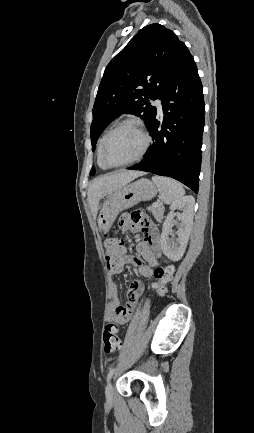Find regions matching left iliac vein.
Returning <instances> with one entry per match:
<instances>
[{
	"instance_id": "4c4485c4",
	"label": "left iliac vein",
	"mask_w": 254,
	"mask_h": 433,
	"mask_svg": "<svg viewBox=\"0 0 254 433\" xmlns=\"http://www.w3.org/2000/svg\"><path fill=\"white\" fill-rule=\"evenodd\" d=\"M106 397L108 401H111L113 399V385L111 382L108 383L106 388Z\"/></svg>"
}]
</instances>
